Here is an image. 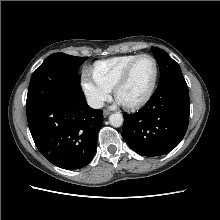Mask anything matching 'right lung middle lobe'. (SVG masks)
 Returning <instances> with one entry per match:
<instances>
[{
    "mask_svg": "<svg viewBox=\"0 0 220 220\" xmlns=\"http://www.w3.org/2000/svg\"><path fill=\"white\" fill-rule=\"evenodd\" d=\"M88 57L64 53L49 56L32 74L26 106L45 100L80 99L84 96L78 81L79 66Z\"/></svg>",
    "mask_w": 220,
    "mask_h": 220,
    "instance_id": "dd1d6c3e",
    "label": "right lung middle lobe"
}]
</instances>
